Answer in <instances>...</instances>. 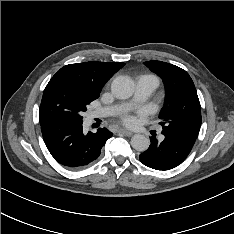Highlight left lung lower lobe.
I'll return each mask as SVG.
<instances>
[{"label":"left lung lower lobe","instance_id":"0a47b994","mask_svg":"<svg viewBox=\"0 0 234 234\" xmlns=\"http://www.w3.org/2000/svg\"><path fill=\"white\" fill-rule=\"evenodd\" d=\"M163 140L159 142L155 135L150 137L149 148L139 155L140 161L156 170H169L182 163L193 146L188 145L180 137L162 131Z\"/></svg>","mask_w":234,"mask_h":234}]
</instances>
